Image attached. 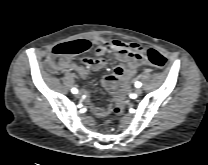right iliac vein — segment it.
<instances>
[{
	"label": "right iliac vein",
	"instance_id": "63e3f726",
	"mask_svg": "<svg viewBox=\"0 0 208 165\" xmlns=\"http://www.w3.org/2000/svg\"><path fill=\"white\" fill-rule=\"evenodd\" d=\"M80 96H81V94H80V93H77V94H76V97H77V98H79Z\"/></svg>",
	"mask_w": 208,
	"mask_h": 165
}]
</instances>
